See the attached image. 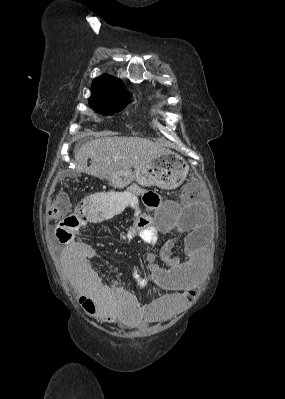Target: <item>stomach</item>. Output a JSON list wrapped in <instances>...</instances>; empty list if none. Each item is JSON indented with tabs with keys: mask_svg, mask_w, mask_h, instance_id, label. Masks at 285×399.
Wrapping results in <instances>:
<instances>
[{
	"mask_svg": "<svg viewBox=\"0 0 285 399\" xmlns=\"http://www.w3.org/2000/svg\"><path fill=\"white\" fill-rule=\"evenodd\" d=\"M189 167L184 159L171 151L158 154L151 160L117 176L107 177L115 189L128 186L133 180L143 187L157 186L162 189H175L182 184Z\"/></svg>",
	"mask_w": 285,
	"mask_h": 399,
	"instance_id": "1",
	"label": "stomach"
}]
</instances>
